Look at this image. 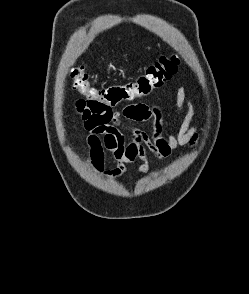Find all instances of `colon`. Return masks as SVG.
Returning a JSON list of instances; mask_svg holds the SVG:
<instances>
[{
  "instance_id": "obj_1",
  "label": "colon",
  "mask_w": 249,
  "mask_h": 294,
  "mask_svg": "<svg viewBox=\"0 0 249 294\" xmlns=\"http://www.w3.org/2000/svg\"><path fill=\"white\" fill-rule=\"evenodd\" d=\"M178 59L171 55H162L149 65L135 80L105 88H95L90 82L84 67L75 65L71 71L74 88L85 101L93 106H116L122 102L134 101L161 88L172 77L178 67Z\"/></svg>"
}]
</instances>
